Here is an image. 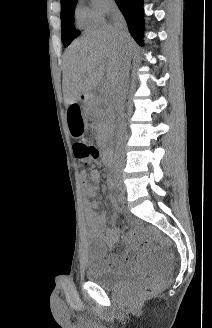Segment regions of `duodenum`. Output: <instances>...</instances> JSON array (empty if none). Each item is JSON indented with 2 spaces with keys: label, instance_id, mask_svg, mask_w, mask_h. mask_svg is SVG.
<instances>
[{
  "label": "duodenum",
  "instance_id": "obj_1",
  "mask_svg": "<svg viewBox=\"0 0 212 328\" xmlns=\"http://www.w3.org/2000/svg\"><path fill=\"white\" fill-rule=\"evenodd\" d=\"M104 158H105V161L107 162V163H109V154H108V152L107 151H105L104 152Z\"/></svg>",
  "mask_w": 212,
  "mask_h": 328
}]
</instances>
